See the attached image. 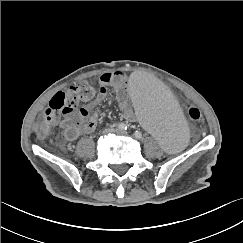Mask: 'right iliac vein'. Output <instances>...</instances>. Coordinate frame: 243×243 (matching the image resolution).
Returning a JSON list of instances; mask_svg holds the SVG:
<instances>
[{
	"label": "right iliac vein",
	"instance_id": "63e3f726",
	"mask_svg": "<svg viewBox=\"0 0 243 243\" xmlns=\"http://www.w3.org/2000/svg\"><path fill=\"white\" fill-rule=\"evenodd\" d=\"M114 128H112V127H106V128H104L103 130H102V134H104V135H107V134H109V133H112V132H114Z\"/></svg>",
	"mask_w": 243,
	"mask_h": 243
}]
</instances>
